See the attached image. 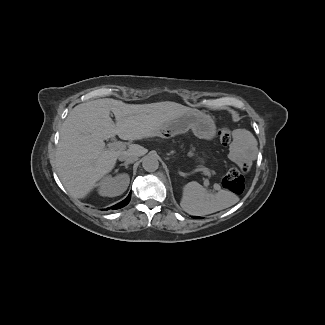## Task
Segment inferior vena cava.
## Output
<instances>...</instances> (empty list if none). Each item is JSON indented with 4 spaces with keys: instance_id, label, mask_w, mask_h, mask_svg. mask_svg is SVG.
Listing matches in <instances>:
<instances>
[{
    "instance_id": "1",
    "label": "inferior vena cava",
    "mask_w": 325,
    "mask_h": 325,
    "mask_svg": "<svg viewBox=\"0 0 325 325\" xmlns=\"http://www.w3.org/2000/svg\"><path fill=\"white\" fill-rule=\"evenodd\" d=\"M120 161H125V163H134L138 160V155L135 152L125 151L124 153L118 156Z\"/></svg>"
}]
</instances>
